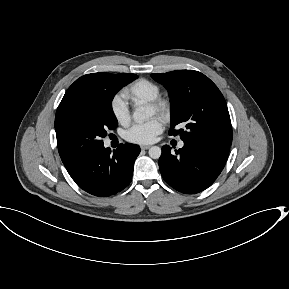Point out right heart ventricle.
<instances>
[{
  "label": "right heart ventricle",
  "instance_id": "obj_1",
  "mask_svg": "<svg viewBox=\"0 0 289 289\" xmlns=\"http://www.w3.org/2000/svg\"><path fill=\"white\" fill-rule=\"evenodd\" d=\"M158 84L148 79H138L123 90V97L135 106L149 103L160 96Z\"/></svg>",
  "mask_w": 289,
  "mask_h": 289
}]
</instances>
